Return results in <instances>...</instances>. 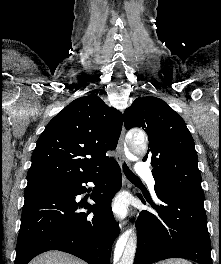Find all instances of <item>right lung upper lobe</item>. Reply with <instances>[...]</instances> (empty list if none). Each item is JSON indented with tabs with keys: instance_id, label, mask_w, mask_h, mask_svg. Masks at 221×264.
Instances as JSON below:
<instances>
[{
	"instance_id": "right-lung-upper-lobe-1",
	"label": "right lung upper lobe",
	"mask_w": 221,
	"mask_h": 264,
	"mask_svg": "<svg viewBox=\"0 0 221 264\" xmlns=\"http://www.w3.org/2000/svg\"><path fill=\"white\" fill-rule=\"evenodd\" d=\"M122 121V114L97 95L72 101L40 135L25 190L87 177L103 169L114 160L105 153L116 148Z\"/></svg>"
}]
</instances>
